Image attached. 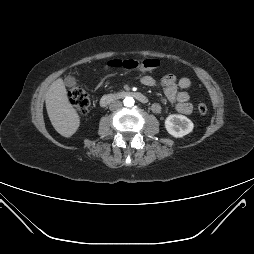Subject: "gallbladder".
<instances>
[{
	"instance_id": "obj_1",
	"label": "gallbladder",
	"mask_w": 254,
	"mask_h": 254,
	"mask_svg": "<svg viewBox=\"0 0 254 254\" xmlns=\"http://www.w3.org/2000/svg\"><path fill=\"white\" fill-rule=\"evenodd\" d=\"M64 83L67 87H73L76 84V79L72 76H67Z\"/></svg>"
}]
</instances>
